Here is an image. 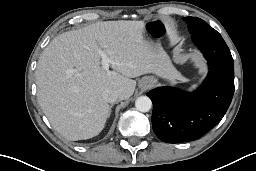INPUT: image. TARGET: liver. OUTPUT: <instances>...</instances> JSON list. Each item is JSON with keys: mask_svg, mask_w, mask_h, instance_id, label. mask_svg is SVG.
Instances as JSON below:
<instances>
[{"mask_svg": "<svg viewBox=\"0 0 256 171\" xmlns=\"http://www.w3.org/2000/svg\"><path fill=\"white\" fill-rule=\"evenodd\" d=\"M141 21H106L68 31L54 38L37 64L39 104L52 127L68 140L97 136L104 128L109 105L103 98L107 88L120 100L131 97L136 81L153 73L178 77L164 53L160 60L144 36ZM99 51L114 63L104 70Z\"/></svg>", "mask_w": 256, "mask_h": 171, "instance_id": "obj_1", "label": "liver"}]
</instances>
